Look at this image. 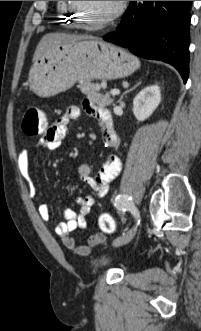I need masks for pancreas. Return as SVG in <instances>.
Returning a JSON list of instances; mask_svg holds the SVG:
<instances>
[{"mask_svg": "<svg viewBox=\"0 0 201 331\" xmlns=\"http://www.w3.org/2000/svg\"><path fill=\"white\" fill-rule=\"evenodd\" d=\"M78 88L83 94L87 95L90 99H92L100 106H110L114 102L113 97H111L109 94L103 95L99 93L97 85L90 81L81 82L78 85Z\"/></svg>", "mask_w": 201, "mask_h": 331, "instance_id": "pancreas-1", "label": "pancreas"}]
</instances>
